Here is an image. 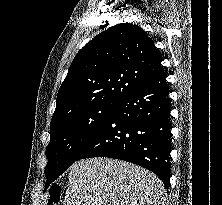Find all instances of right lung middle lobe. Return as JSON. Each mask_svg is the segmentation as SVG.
Wrapping results in <instances>:
<instances>
[{
  "mask_svg": "<svg viewBox=\"0 0 222 205\" xmlns=\"http://www.w3.org/2000/svg\"><path fill=\"white\" fill-rule=\"evenodd\" d=\"M120 101H108L83 108L50 124L45 168L48 187L75 161L83 148L102 127Z\"/></svg>",
  "mask_w": 222,
  "mask_h": 205,
  "instance_id": "dd1d6c3e",
  "label": "right lung middle lobe"
}]
</instances>
